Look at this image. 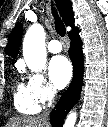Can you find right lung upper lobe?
I'll return each instance as SVG.
<instances>
[{
	"mask_svg": "<svg viewBox=\"0 0 108 127\" xmlns=\"http://www.w3.org/2000/svg\"><path fill=\"white\" fill-rule=\"evenodd\" d=\"M60 15L67 26L74 27V14L72 11V3L70 0H56ZM22 38V24L19 22L13 28L8 44L6 46L5 53L11 57H14L18 53L19 46Z\"/></svg>",
	"mask_w": 108,
	"mask_h": 127,
	"instance_id": "obj_1",
	"label": "right lung upper lobe"
}]
</instances>
